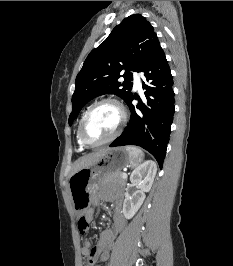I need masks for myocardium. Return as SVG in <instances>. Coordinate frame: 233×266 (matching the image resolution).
<instances>
[{
  "label": "myocardium",
  "instance_id": "myocardium-1",
  "mask_svg": "<svg viewBox=\"0 0 233 266\" xmlns=\"http://www.w3.org/2000/svg\"><path fill=\"white\" fill-rule=\"evenodd\" d=\"M106 103H110V104H114L120 111V115H121V120L120 123L118 125V127L116 128V130L114 131V133L109 136L108 138L99 141V142H89L84 135V128L86 125V122L88 120V118L91 116V114L101 105L106 104ZM127 123V112L126 109L124 107V105L122 104L121 101H119L116 98H112V97H107V98H103L101 100H99L98 102L94 103L84 114V116L81 119L80 125H79V129H78V138L80 140V142L82 143L83 146L85 147H98L107 143H110L112 141H114L117 137L120 136V134L122 133L125 125Z\"/></svg>",
  "mask_w": 233,
  "mask_h": 266
}]
</instances>
